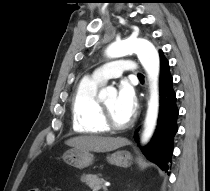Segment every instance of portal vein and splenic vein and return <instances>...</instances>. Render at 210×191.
<instances>
[{
  "label": "portal vein and splenic vein",
  "mask_w": 210,
  "mask_h": 191,
  "mask_svg": "<svg viewBox=\"0 0 210 191\" xmlns=\"http://www.w3.org/2000/svg\"><path fill=\"white\" fill-rule=\"evenodd\" d=\"M107 186H109V184H106V185H105V188H104L105 190H106V187H107Z\"/></svg>",
  "instance_id": "portal-vein-and-splenic-vein-1"
}]
</instances>
